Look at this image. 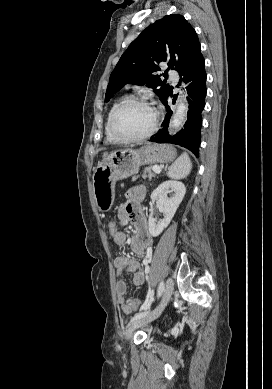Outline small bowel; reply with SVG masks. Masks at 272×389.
<instances>
[{"label": "small bowel", "mask_w": 272, "mask_h": 389, "mask_svg": "<svg viewBox=\"0 0 272 389\" xmlns=\"http://www.w3.org/2000/svg\"><path fill=\"white\" fill-rule=\"evenodd\" d=\"M145 196V189L141 186H134L126 193V201L118 208L117 217L121 226L129 222L133 226L134 235L128 240L126 233L120 230L113 236L114 242L124 245L129 241L130 248L134 254L147 259L150 255L152 238L148 230L146 219L141 210V201ZM119 279L115 285L116 298L124 313L129 314L133 310L126 303L127 285L121 276L126 272L133 273V284L141 286L145 281V271L140 261L130 257H118L115 260Z\"/></svg>", "instance_id": "1"}]
</instances>
